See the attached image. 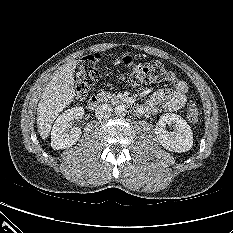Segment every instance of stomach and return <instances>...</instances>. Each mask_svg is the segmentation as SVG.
<instances>
[{
  "label": "stomach",
  "mask_w": 233,
  "mask_h": 233,
  "mask_svg": "<svg viewBox=\"0 0 233 233\" xmlns=\"http://www.w3.org/2000/svg\"><path fill=\"white\" fill-rule=\"evenodd\" d=\"M135 60H136V57L131 53H124L123 55H121L119 59V61L122 64L128 65V66H131Z\"/></svg>",
  "instance_id": "stomach-1"
}]
</instances>
